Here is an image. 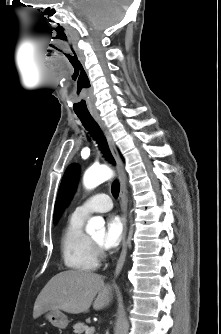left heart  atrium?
<instances>
[{"label": "left heart atrium", "instance_id": "39dd6f15", "mask_svg": "<svg viewBox=\"0 0 221 334\" xmlns=\"http://www.w3.org/2000/svg\"><path fill=\"white\" fill-rule=\"evenodd\" d=\"M123 239V224L119 217L110 216L106 222V231L102 240V245L106 249H113L119 245Z\"/></svg>", "mask_w": 221, "mask_h": 334}]
</instances>
